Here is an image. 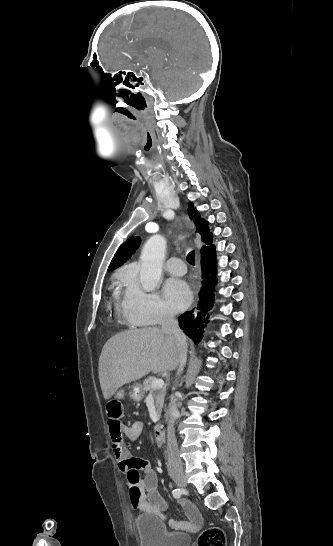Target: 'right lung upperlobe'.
I'll list each match as a JSON object with an SVG mask.
<instances>
[{
    "label": "right lung upper lobe",
    "instance_id": "obj_1",
    "mask_svg": "<svg viewBox=\"0 0 333 546\" xmlns=\"http://www.w3.org/2000/svg\"><path fill=\"white\" fill-rule=\"evenodd\" d=\"M188 214L189 217L194 221L196 225V230L198 233L201 234L203 242L206 243V245H211L212 243V233H209V229L207 226V223L205 220L201 219L199 213L197 210H194L193 204H189L188 208ZM140 245V238L139 237H131L129 238L124 244H122L118 251L115 253L111 264L109 265L108 271H113L117 267L121 266L124 262H126L131 255L136 251V249ZM213 245L209 247L203 246L201 249V254H204L208 252Z\"/></svg>",
    "mask_w": 333,
    "mask_h": 546
}]
</instances>
